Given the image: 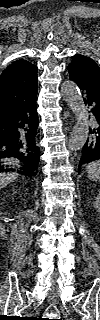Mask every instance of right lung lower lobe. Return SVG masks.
<instances>
[{"mask_svg": "<svg viewBox=\"0 0 100 320\" xmlns=\"http://www.w3.org/2000/svg\"><path fill=\"white\" fill-rule=\"evenodd\" d=\"M36 95L37 90L24 99L0 106V158H17L22 162L18 173L26 176L37 175L40 157Z\"/></svg>", "mask_w": 100, "mask_h": 320, "instance_id": "98d812e1", "label": "right lung lower lobe"}]
</instances>
